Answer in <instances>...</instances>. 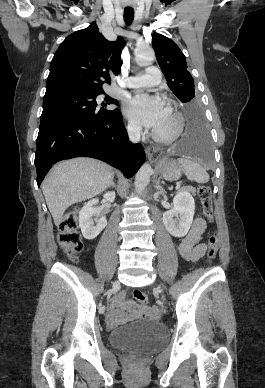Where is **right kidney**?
I'll return each instance as SVG.
<instances>
[{
	"instance_id": "obj_1",
	"label": "right kidney",
	"mask_w": 265,
	"mask_h": 388,
	"mask_svg": "<svg viewBox=\"0 0 265 388\" xmlns=\"http://www.w3.org/2000/svg\"><path fill=\"white\" fill-rule=\"evenodd\" d=\"M104 200L114 202L115 192H106L103 196ZM99 200H90L84 204L79 214V228L85 240H94L98 234L107 226L106 216H101V208H96Z\"/></svg>"
}]
</instances>
